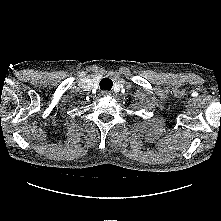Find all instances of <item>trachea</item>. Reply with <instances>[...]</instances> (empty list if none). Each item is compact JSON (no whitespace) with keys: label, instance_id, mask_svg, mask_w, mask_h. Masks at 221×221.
I'll list each match as a JSON object with an SVG mask.
<instances>
[{"label":"trachea","instance_id":"trachea-1","mask_svg":"<svg viewBox=\"0 0 221 221\" xmlns=\"http://www.w3.org/2000/svg\"><path fill=\"white\" fill-rule=\"evenodd\" d=\"M99 85L102 90L109 91V90H111V88L113 86V81L110 78L106 77L100 81Z\"/></svg>","mask_w":221,"mask_h":221}]
</instances>
